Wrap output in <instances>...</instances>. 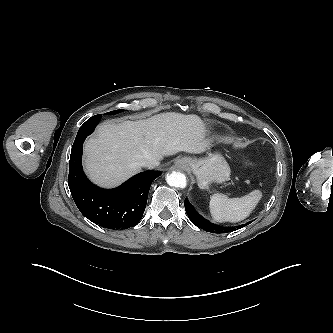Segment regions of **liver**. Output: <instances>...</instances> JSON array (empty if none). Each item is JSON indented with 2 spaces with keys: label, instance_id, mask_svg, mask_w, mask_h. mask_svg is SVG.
Masks as SVG:
<instances>
[{
  "label": "liver",
  "instance_id": "6515ba94",
  "mask_svg": "<svg viewBox=\"0 0 333 333\" xmlns=\"http://www.w3.org/2000/svg\"><path fill=\"white\" fill-rule=\"evenodd\" d=\"M205 126L196 115L167 112L146 120L104 122L84 145V165L90 179L110 188L140 171L142 160L178 152L203 153L208 148Z\"/></svg>",
  "mask_w": 333,
  "mask_h": 333
}]
</instances>
